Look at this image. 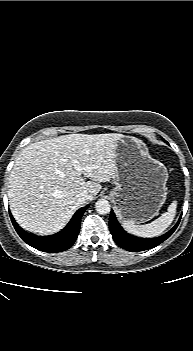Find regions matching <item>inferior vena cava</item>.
Returning <instances> with one entry per match:
<instances>
[{
  "label": "inferior vena cava",
  "mask_w": 193,
  "mask_h": 351,
  "mask_svg": "<svg viewBox=\"0 0 193 351\" xmlns=\"http://www.w3.org/2000/svg\"><path fill=\"white\" fill-rule=\"evenodd\" d=\"M89 199V195L87 192L83 191V192H80L78 195H77V202L79 204H84L88 201Z\"/></svg>",
  "instance_id": "inferior-vena-cava-1"
}]
</instances>
